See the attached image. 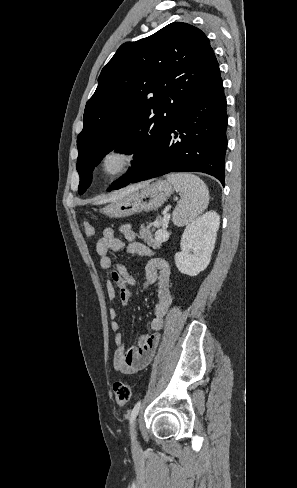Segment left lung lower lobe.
<instances>
[{"instance_id":"obj_1","label":"left lung lower lobe","mask_w":297,"mask_h":488,"mask_svg":"<svg viewBox=\"0 0 297 488\" xmlns=\"http://www.w3.org/2000/svg\"><path fill=\"white\" fill-rule=\"evenodd\" d=\"M227 124L226 97L219 76L202 96L182 112L152 158L124 186L169 172L183 171L207 173L224 186Z\"/></svg>"}]
</instances>
